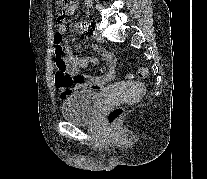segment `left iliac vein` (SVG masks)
<instances>
[{"instance_id":"4c4485c4","label":"left iliac vein","mask_w":207,"mask_h":179,"mask_svg":"<svg viewBox=\"0 0 207 179\" xmlns=\"http://www.w3.org/2000/svg\"><path fill=\"white\" fill-rule=\"evenodd\" d=\"M91 29L92 30H100L101 29V26L98 25V24H95V25H92L91 26ZM94 39L98 42H102L104 40L103 36H102V33L100 31H96L94 33Z\"/></svg>"}]
</instances>
